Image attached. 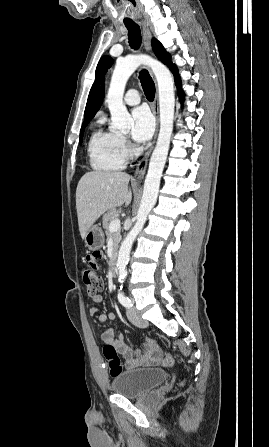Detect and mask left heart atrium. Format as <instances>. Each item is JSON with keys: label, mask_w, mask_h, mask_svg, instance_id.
<instances>
[{"label": "left heart atrium", "mask_w": 269, "mask_h": 447, "mask_svg": "<svg viewBox=\"0 0 269 447\" xmlns=\"http://www.w3.org/2000/svg\"><path fill=\"white\" fill-rule=\"evenodd\" d=\"M133 128L132 137L137 142L149 140L154 132L153 116L147 107L141 106L132 112Z\"/></svg>", "instance_id": "1"}]
</instances>
